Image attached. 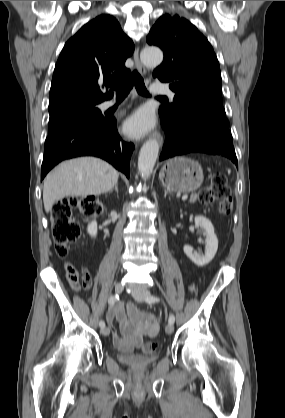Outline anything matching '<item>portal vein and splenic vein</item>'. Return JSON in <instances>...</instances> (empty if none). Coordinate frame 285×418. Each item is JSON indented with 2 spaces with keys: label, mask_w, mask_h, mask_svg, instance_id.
<instances>
[{
  "label": "portal vein and splenic vein",
  "mask_w": 285,
  "mask_h": 418,
  "mask_svg": "<svg viewBox=\"0 0 285 418\" xmlns=\"http://www.w3.org/2000/svg\"><path fill=\"white\" fill-rule=\"evenodd\" d=\"M187 198H188V195L187 194H185V195L182 196V200L183 201L187 200Z\"/></svg>",
  "instance_id": "portal-vein-and-splenic-vein-1"
}]
</instances>
